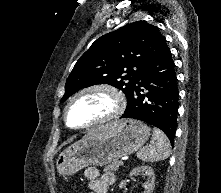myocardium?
<instances>
[{"label": "myocardium", "instance_id": "obj_1", "mask_svg": "<svg viewBox=\"0 0 221 193\" xmlns=\"http://www.w3.org/2000/svg\"><path fill=\"white\" fill-rule=\"evenodd\" d=\"M92 93L103 94L107 96L111 100V107L105 113L99 115L97 118L85 125H70L68 121V112L73 103L78 98ZM125 105V97L117 87L108 83L91 84L79 89L69 98L64 108L63 119L68 128L78 131H85L97 127L99 125L112 122L113 120L117 119L123 113Z\"/></svg>", "mask_w": 221, "mask_h": 193}]
</instances>
